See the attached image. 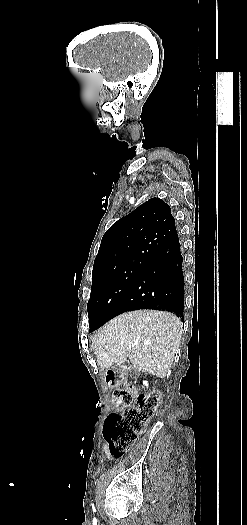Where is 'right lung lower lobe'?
I'll return each instance as SVG.
<instances>
[{
  "label": "right lung lower lobe",
  "instance_id": "right-lung-lower-lobe-1",
  "mask_svg": "<svg viewBox=\"0 0 247 525\" xmlns=\"http://www.w3.org/2000/svg\"><path fill=\"white\" fill-rule=\"evenodd\" d=\"M180 247L176 234L148 256L146 267L119 304L116 315L154 309L173 312L183 319L184 277ZM97 328H91L90 332Z\"/></svg>",
  "mask_w": 247,
  "mask_h": 525
}]
</instances>
